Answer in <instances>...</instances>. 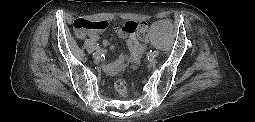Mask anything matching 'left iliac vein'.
<instances>
[{
  "label": "left iliac vein",
  "instance_id": "4c4485c4",
  "mask_svg": "<svg viewBox=\"0 0 255 122\" xmlns=\"http://www.w3.org/2000/svg\"><path fill=\"white\" fill-rule=\"evenodd\" d=\"M149 64H150L151 66L156 65V64H157V59H156L155 57H152V58L149 60Z\"/></svg>",
  "mask_w": 255,
  "mask_h": 122
}]
</instances>
